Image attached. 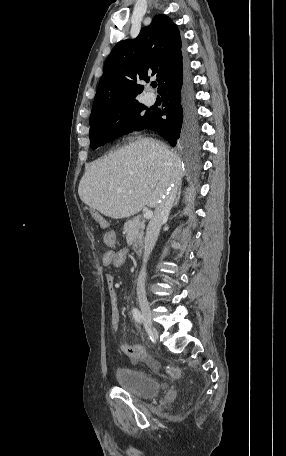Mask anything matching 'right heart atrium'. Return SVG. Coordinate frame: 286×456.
Returning <instances> with one entry per match:
<instances>
[{
  "instance_id": "1",
  "label": "right heart atrium",
  "mask_w": 286,
  "mask_h": 456,
  "mask_svg": "<svg viewBox=\"0 0 286 456\" xmlns=\"http://www.w3.org/2000/svg\"><path fill=\"white\" fill-rule=\"evenodd\" d=\"M140 133V128L137 124H128L124 129V137L131 139L136 137Z\"/></svg>"
}]
</instances>
